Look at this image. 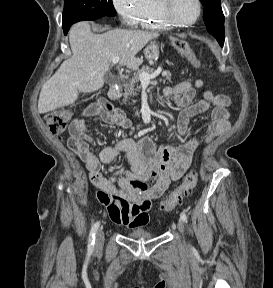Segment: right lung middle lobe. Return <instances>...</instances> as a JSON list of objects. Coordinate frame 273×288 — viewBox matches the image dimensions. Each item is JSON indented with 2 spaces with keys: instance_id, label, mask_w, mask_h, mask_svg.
<instances>
[{
  "instance_id": "1",
  "label": "right lung middle lobe",
  "mask_w": 273,
  "mask_h": 288,
  "mask_svg": "<svg viewBox=\"0 0 273 288\" xmlns=\"http://www.w3.org/2000/svg\"><path fill=\"white\" fill-rule=\"evenodd\" d=\"M115 15L112 0H64L63 28H70L78 21Z\"/></svg>"
}]
</instances>
